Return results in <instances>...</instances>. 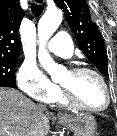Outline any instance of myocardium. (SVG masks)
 Returning <instances> with one entry per match:
<instances>
[{
    "instance_id": "1",
    "label": "myocardium",
    "mask_w": 117,
    "mask_h": 136,
    "mask_svg": "<svg viewBox=\"0 0 117 136\" xmlns=\"http://www.w3.org/2000/svg\"><path fill=\"white\" fill-rule=\"evenodd\" d=\"M70 72L72 74L90 73V74H93L94 76H96L99 79V81L101 82V84L105 90L106 102H105V105L101 108L87 107V106L79 103L74 98L72 92L69 89H67L66 87L61 85L60 87H61L62 95H63L65 102L76 109L90 112V113H99V112H103V111L107 110L108 107L111 105L112 94H111L110 87H109L107 81L105 80V78L103 77V75L99 71H97L93 68H90V67H85V66L74 67V68L70 69Z\"/></svg>"
}]
</instances>
